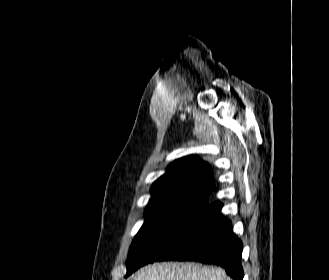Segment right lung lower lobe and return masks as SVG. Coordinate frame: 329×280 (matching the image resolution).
<instances>
[{"label":"right lung lower lobe","instance_id":"right-lung-lower-lobe-1","mask_svg":"<svg viewBox=\"0 0 329 280\" xmlns=\"http://www.w3.org/2000/svg\"><path fill=\"white\" fill-rule=\"evenodd\" d=\"M217 201L206 205L149 261H198L222 266L234 280L244 277L242 242L233 234L231 221L221 214Z\"/></svg>","mask_w":329,"mask_h":280}]
</instances>
